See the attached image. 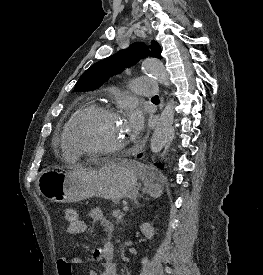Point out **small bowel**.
Listing matches in <instances>:
<instances>
[{
	"instance_id": "1",
	"label": "small bowel",
	"mask_w": 263,
	"mask_h": 275,
	"mask_svg": "<svg viewBox=\"0 0 263 275\" xmlns=\"http://www.w3.org/2000/svg\"><path fill=\"white\" fill-rule=\"evenodd\" d=\"M89 219L98 223L107 237L111 236L113 232V224L108 219H106L103 211L100 208L91 209L89 212ZM87 227L88 225L86 221L77 219L75 222L68 224L66 233L69 235L81 234L87 230ZM92 259L95 262H101L102 272L99 274L96 270L91 269L89 271V275H118L117 266L114 262V248L109 240H107L101 247L93 250ZM69 260L72 263V266L74 264L81 263L80 258L76 256L70 257Z\"/></svg>"
}]
</instances>
